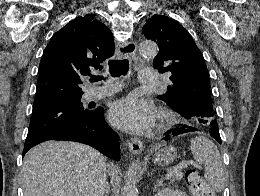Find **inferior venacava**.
Returning a JSON list of instances; mask_svg holds the SVG:
<instances>
[{
	"label": "inferior vena cava",
	"instance_id": "602c4592",
	"mask_svg": "<svg viewBox=\"0 0 260 196\" xmlns=\"http://www.w3.org/2000/svg\"><path fill=\"white\" fill-rule=\"evenodd\" d=\"M94 196H104V194H101L100 190H96Z\"/></svg>",
	"mask_w": 260,
	"mask_h": 196
}]
</instances>
